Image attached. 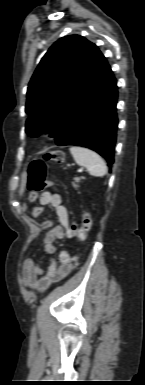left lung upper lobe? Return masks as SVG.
I'll use <instances>...</instances> for the list:
<instances>
[{"label":"left lung upper lobe","mask_w":145,"mask_h":385,"mask_svg":"<svg viewBox=\"0 0 145 385\" xmlns=\"http://www.w3.org/2000/svg\"><path fill=\"white\" fill-rule=\"evenodd\" d=\"M99 49L79 35L56 41L40 61L27 90L26 133L54 136L80 95Z\"/></svg>","instance_id":"left-lung-upper-lobe-1"}]
</instances>
